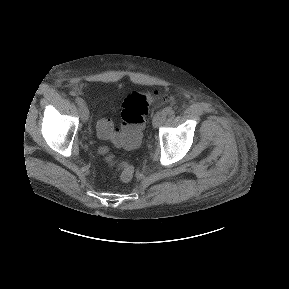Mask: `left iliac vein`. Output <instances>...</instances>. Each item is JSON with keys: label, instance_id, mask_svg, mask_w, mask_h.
Masks as SVG:
<instances>
[{"label": "left iliac vein", "instance_id": "4c4485c4", "mask_svg": "<svg viewBox=\"0 0 289 289\" xmlns=\"http://www.w3.org/2000/svg\"><path fill=\"white\" fill-rule=\"evenodd\" d=\"M165 117H166V113L164 110L158 111L154 115L153 120H152L153 127L154 128L159 127L161 125V123L164 121Z\"/></svg>", "mask_w": 289, "mask_h": 289}]
</instances>
